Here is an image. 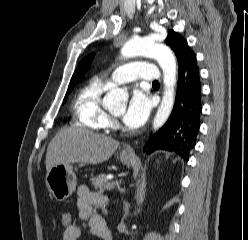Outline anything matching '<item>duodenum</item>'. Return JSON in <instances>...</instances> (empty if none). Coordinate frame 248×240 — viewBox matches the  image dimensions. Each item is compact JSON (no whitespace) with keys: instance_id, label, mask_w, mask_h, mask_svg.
I'll use <instances>...</instances> for the list:
<instances>
[{"instance_id":"410a0bca","label":"duodenum","mask_w":248,"mask_h":240,"mask_svg":"<svg viewBox=\"0 0 248 240\" xmlns=\"http://www.w3.org/2000/svg\"><path fill=\"white\" fill-rule=\"evenodd\" d=\"M93 233L97 235L101 240H112V235L109 227L101 222L94 227Z\"/></svg>"}]
</instances>
